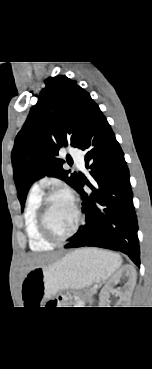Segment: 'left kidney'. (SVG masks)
Here are the masks:
<instances>
[{"label":"left kidney","instance_id":"5707ae66","mask_svg":"<svg viewBox=\"0 0 152 369\" xmlns=\"http://www.w3.org/2000/svg\"><path fill=\"white\" fill-rule=\"evenodd\" d=\"M123 276L127 277V282L124 286V290L121 292L122 298L126 299L132 293L134 286L136 284L137 272L135 268L132 266H124L121 268L105 285V288L101 291L100 294V306L104 307V304H107L108 297L107 294L109 292H115L114 284L118 282Z\"/></svg>","mask_w":152,"mask_h":369}]
</instances>
